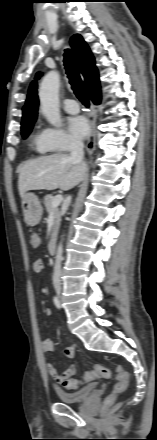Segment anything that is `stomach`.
Returning <instances> with one entry per match:
<instances>
[{
  "mask_svg": "<svg viewBox=\"0 0 157 440\" xmlns=\"http://www.w3.org/2000/svg\"><path fill=\"white\" fill-rule=\"evenodd\" d=\"M25 221L30 226L37 225L42 217L43 208L36 195L26 193L21 200Z\"/></svg>",
  "mask_w": 157,
  "mask_h": 440,
  "instance_id": "stomach-1",
  "label": "stomach"
}]
</instances>
